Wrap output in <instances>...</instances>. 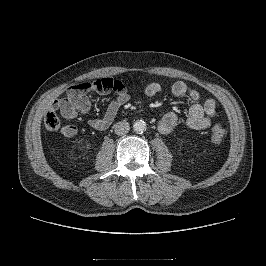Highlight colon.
Returning a JSON list of instances; mask_svg holds the SVG:
<instances>
[{"label":"colon","instance_id":"obj_1","mask_svg":"<svg viewBox=\"0 0 266 266\" xmlns=\"http://www.w3.org/2000/svg\"><path fill=\"white\" fill-rule=\"evenodd\" d=\"M124 89V85L119 81L111 77L100 78L94 81L82 82L76 84L70 88V92L73 96H77L86 92L96 93H119ZM45 129L49 132H57L60 128V118L56 109H49L44 117ZM227 135L225 126L220 123L213 124L210 128V140L214 145H220L223 143Z\"/></svg>","mask_w":266,"mask_h":266}]
</instances>
